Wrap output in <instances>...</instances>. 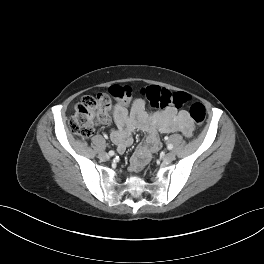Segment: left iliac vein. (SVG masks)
<instances>
[{
  "label": "left iliac vein",
  "mask_w": 264,
  "mask_h": 264,
  "mask_svg": "<svg viewBox=\"0 0 264 264\" xmlns=\"http://www.w3.org/2000/svg\"><path fill=\"white\" fill-rule=\"evenodd\" d=\"M175 157H176L175 153L173 151H170L164 156V161L172 162L175 159Z\"/></svg>",
  "instance_id": "obj_1"
}]
</instances>
